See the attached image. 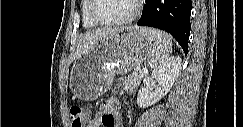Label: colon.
Wrapping results in <instances>:
<instances>
[{"label": "colon", "instance_id": "obj_1", "mask_svg": "<svg viewBox=\"0 0 243 127\" xmlns=\"http://www.w3.org/2000/svg\"><path fill=\"white\" fill-rule=\"evenodd\" d=\"M69 115L73 127H84L86 122V117L82 107L78 105H73L69 109Z\"/></svg>", "mask_w": 243, "mask_h": 127}]
</instances>
